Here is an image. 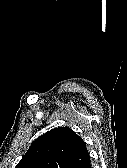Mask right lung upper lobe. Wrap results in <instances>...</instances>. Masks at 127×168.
<instances>
[{
	"instance_id": "right-lung-upper-lobe-1",
	"label": "right lung upper lobe",
	"mask_w": 127,
	"mask_h": 168,
	"mask_svg": "<svg viewBox=\"0 0 127 168\" xmlns=\"http://www.w3.org/2000/svg\"><path fill=\"white\" fill-rule=\"evenodd\" d=\"M89 158L83 139L69 127H59L37 138L16 168H77Z\"/></svg>"
}]
</instances>
